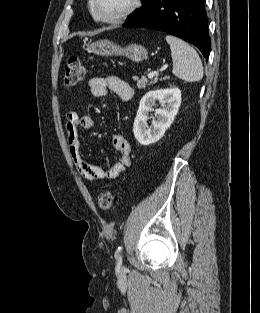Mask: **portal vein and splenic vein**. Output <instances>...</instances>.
<instances>
[{
    "label": "portal vein and splenic vein",
    "instance_id": "18ae733b",
    "mask_svg": "<svg viewBox=\"0 0 260 313\" xmlns=\"http://www.w3.org/2000/svg\"><path fill=\"white\" fill-rule=\"evenodd\" d=\"M163 69L160 70V72H162ZM159 74V70L157 71H152L148 74V78H153L155 75H158Z\"/></svg>",
    "mask_w": 260,
    "mask_h": 313
}]
</instances>
